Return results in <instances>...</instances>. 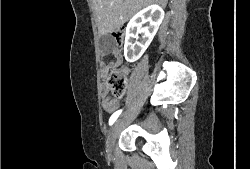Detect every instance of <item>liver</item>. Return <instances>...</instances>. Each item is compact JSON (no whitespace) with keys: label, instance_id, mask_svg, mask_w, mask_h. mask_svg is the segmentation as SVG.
I'll return each instance as SVG.
<instances>
[{"label":"liver","instance_id":"obj_1","mask_svg":"<svg viewBox=\"0 0 250 169\" xmlns=\"http://www.w3.org/2000/svg\"><path fill=\"white\" fill-rule=\"evenodd\" d=\"M100 34L115 32L134 12L147 4H160L165 8L168 0H91Z\"/></svg>","mask_w":250,"mask_h":169}]
</instances>
